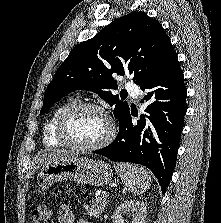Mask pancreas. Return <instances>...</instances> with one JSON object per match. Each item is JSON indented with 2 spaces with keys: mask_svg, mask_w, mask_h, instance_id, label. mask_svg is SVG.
Segmentation results:
<instances>
[{
  "mask_svg": "<svg viewBox=\"0 0 221 223\" xmlns=\"http://www.w3.org/2000/svg\"><path fill=\"white\" fill-rule=\"evenodd\" d=\"M107 197L108 196L101 195L93 199L89 204L85 205L88 215L96 218L100 217L105 206L107 205Z\"/></svg>",
  "mask_w": 221,
  "mask_h": 223,
  "instance_id": "cf45deb5",
  "label": "pancreas"
}]
</instances>
